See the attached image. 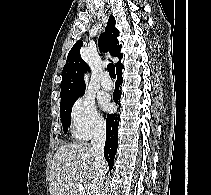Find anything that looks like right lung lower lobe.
<instances>
[{
  "instance_id": "obj_1",
  "label": "right lung lower lobe",
  "mask_w": 211,
  "mask_h": 195,
  "mask_svg": "<svg viewBox=\"0 0 211 195\" xmlns=\"http://www.w3.org/2000/svg\"><path fill=\"white\" fill-rule=\"evenodd\" d=\"M122 69L117 71V81L116 89L113 93V100L116 104L120 105L121 91L119 90V85L122 84ZM118 125H119V115L117 114H108L106 120V142L104 147V157L108 162L109 169L113 168V161L116 154L118 146Z\"/></svg>"
}]
</instances>
